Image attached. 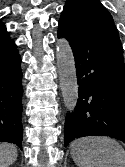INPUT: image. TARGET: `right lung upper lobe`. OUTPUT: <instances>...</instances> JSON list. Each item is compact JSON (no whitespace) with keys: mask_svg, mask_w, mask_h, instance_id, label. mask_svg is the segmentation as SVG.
<instances>
[{"mask_svg":"<svg viewBox=\"0 0 125 167\" xmlns=\"http://www.w3.org/2000/svg\"><path fill=\"white\" fill-rule=\"evenodd\" d=\"M1 27H4V24H3L2 22H0V28H1Z\"/></svg>","mask_w":125,"mask_h":167,"instance_id":"right-lung-upper-lobe-1","label":"right lung upper lobe"}]
</instances>
